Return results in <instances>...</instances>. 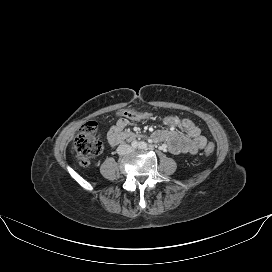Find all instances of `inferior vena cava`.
I'll return each instance as SVG.
<instances>
[{
    "instance_id": "inferior-vena-cava-1",
    "label": "inferior vena cava",
    "mask_w": 272,
    "mask_h": 272,
    "mask_svg": "<svg viewBox=\"0 0 272 272\" xmlns=\"http://www.w3.org/2000/svg\"><path fill=\"white\" fill-rule=\"evenodd\" d=\"M133 152V148L132 146L128 145V144H121L118 146L117 148V153L119 155H127Z\"/></svg>"
}]
</instances>
